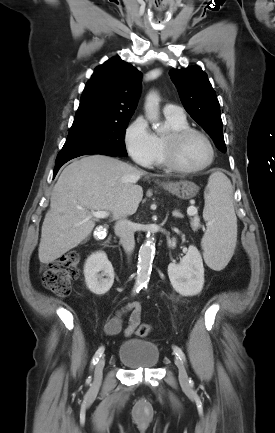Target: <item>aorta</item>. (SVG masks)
I'll use <instances>...</instances> for the list:
<instances>
[{
  "label": "aorta",
  "mask_w": 275,
  "mask_h": 433,
  "mask_svg": "<svg viewBox=\"0 0 275 433\" xmlns=\"http://www.w3.org/2000/svg\"><path fill=\"white\" fill-rule=\"evenodd\" d=\"M159 95L156 92H150L146 97L145 112L147 119L153 123L156 131H160L159 125ZM155 255L154 238L148 236L146 241L142 244L138 255V270L136 282L139 286H146L150 280L152 262Z\"/></svg>",
  "instance_id": "aorta-1"
}]
</instances>
